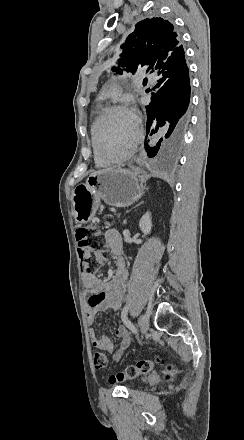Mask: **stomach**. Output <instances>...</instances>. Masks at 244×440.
Returning a JSON list of instances; mask_svg holds the SVG:
<instances>
[{
    "label": "stomach",
    "mask_w": 244,
    "mask_h": 440,
    "mask_svg": "<svg viewBox=\"0 0 244 440\" xmlns=\"http://www.w3.org/2000/svg\"><path fill=\"white\" fill-rule=\"evenodd\" d=\"M141 170L112 168L103 174H91L86 184H78L73 190V218L76 224H88L94 218L101 200L109 206L126 208L144 194L138 178Z\"/></svg>",
    "instance_id": "obj_1"
}]
</instances>
